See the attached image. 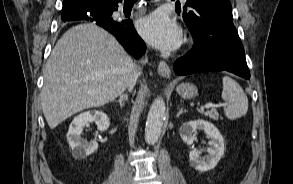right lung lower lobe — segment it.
<instances>
[{"mask_svg": "<svg viewBox=\"0 0 293 184\" xmlns=\"http://www.w3.org/2000/svg\"><path fill=\"white\" fill-rule=\"evenodd\" d=\"M121 1L122 0H118L110 5L80 11L78 14L62 20L64 22L70 20H87L95 22L97 25L113 34L126 51L137 58L145 53L146 45L137 34L132 20L117 21L111 17L112 13L117 10L118 3Z\"/></svg>", "mask_w": 293, "mask_h": 184, "instance_id": "98d812e1", "label": "right lung lower lobe"}]
</instances>
